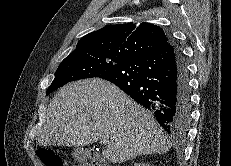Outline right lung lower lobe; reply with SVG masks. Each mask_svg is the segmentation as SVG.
Instances as JSON below:
<instances>
[{
	"instance_id": "1",
	"label": "right lung lower lobe",
	"mask_w": 231,
	"mask_h": 166,
	"mask_svg": "<svg viewBox=\"0 0 231 166\" xmlns=\"http://www.w3.org/2000/svg\"><path fill=\"white\" fill-rule=\"evenodd\" d=\"M97 77L114 83L150 110L167 133L178 137L187 132L191 112L188 73L173 42L116 64Z\"/></svg>"
}]
</instances>
